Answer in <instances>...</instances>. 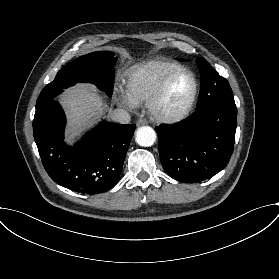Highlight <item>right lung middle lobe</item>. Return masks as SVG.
Returning <instances> with one entry per match:
<instances>
[{"instance_id":"right-lung-middle-lobe-1","label":"right lung middle lobe","mask_w":279,"mask_h":279,"mask_svg":"<svg viewBox=\"0 0 279 279\" xmlns=\"http://www.w3.org/2000/svg\"><path fill=\"white\" fill-rule=\"evenodd\" d=\"M116 58L109 51L93 52L77 58L63 67L55 79L41 91L36 107L54 99L63 89L77 82L94 83L110 97L114 84Z\"/></svg>"}]
</instances>
